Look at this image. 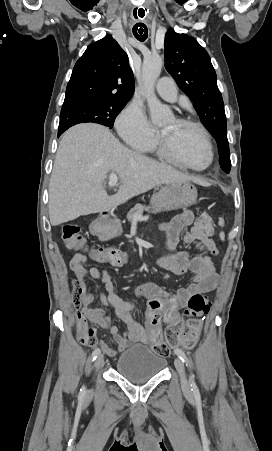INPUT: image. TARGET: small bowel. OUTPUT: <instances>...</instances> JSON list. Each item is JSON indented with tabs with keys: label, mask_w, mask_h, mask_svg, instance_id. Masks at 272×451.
Masks as SVG:
<instances>
[{
	"label": "small bowel",
	"mask_w": 272,
	"mask_h": 451,
	"mask_svg": "<svg viewBox=\"0 0 272 451\" xmlns=\"http://www.w3.org/2000/svg\"><path fill=\"white\" fill-rule=\"evenodd\" d=\"M166 234L168 252L156 260V265L175 275L193 274L190 285L178 289L176 294H167L153 283H144L137 290V296L146 300L147 304H134L124 301L114 291V283L109 272L103 268L93 266L85 274H75L73 280V304L76 308V330L81 334L92 323L107 330L117 348L104 344L103 351L111 358L118 352L126 350L136 343L146 344L148 331L135 318L138 309H146V316L163 315L166 323L175 324L179 319V310L188 305L191 295L202 294L214 290L218 285V273L213 265L212 256L218 255V250L211 238H199L198 228L193 225V214L184 211L171 221L160 225ZM180 239L192 245L198 253L191 256L185 251H176ZM90 260L106 262L100 254H92ZM71 269V268H70ZM91 278L101 280L104 290L98 289V300L89 291L86 280ZM112 308L117 318L125 325L126 330L121 333L108 316L106 308ZM156 337L161 339L160 326ZM184 335L179 336V340Z\"/></svg>",
	"instance_id": "c3829d8e"
}]
</instances>
